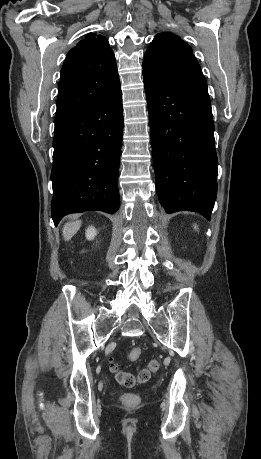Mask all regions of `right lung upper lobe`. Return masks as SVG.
Segmentation results:
<instances>
[{"label":"right lung upper lobe","instance_id":"cb5924a9","mask_svg":"<svg viewBox=\"0 0 261 459\" xmlns=\"http://www.w3.org/2000/svg\"><path fill=\"white\" fill-rule=\"evenodd\" d=\"M120 86L108 40L89 34L72 48L61 70L55 123L97 104Z\"/></svg>","mask_w":261,"mask_h":459}]
</instances>
